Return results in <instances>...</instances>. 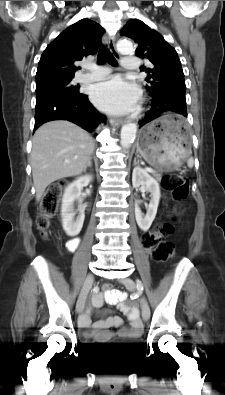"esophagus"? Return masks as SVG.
Masks as SVG:
<instances>
[{
    "mask_svg": "<svg viewBox=\"0 0 225 395\" xmlns=\"http://www.w3.org/2000/svg\"><path fill=\"white\" fill-rule=\"evenodd\" d=\"M105 43H106L107 47L109 48V50L111 51L112 54H114L115 56H119V53H118L117 50H116L114 38L109 37V38L106 40ZM110 122H111V124H113V125H117V124H123V123L125 122V120L122 119V118H112V119L110 120Z\"/></svg>",
    "mask_w": 225,
    "mask_h": 395,
    "instance_id": "1",
    "label": "esophagus"
}]
</instances>
